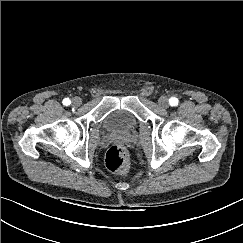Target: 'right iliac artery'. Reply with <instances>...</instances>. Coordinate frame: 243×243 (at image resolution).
<instances>
[{
  "label": "right iliac artery",
  "mask_w": 243,
  "mask_h": 243,
  "mask_svg": "<svg viewBox=\"0 0 243 243\" xmlns=\"http://www.w3.org/2000/svg\"><path fill=\"white\" fill-rule=\"evenodd\" d=\"M70 103H71V101H70L69 98H65V99L63 100V104H64L65 106L70 105Z\"/></svg>",
  "instance_id": "obj_1"
}]
</instances>
